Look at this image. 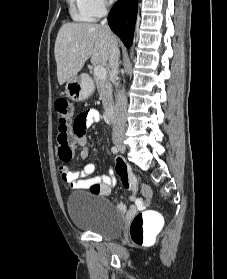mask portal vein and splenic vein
Listing matches in <instances>:
<instances>
[{
	"instance_id": "portal-vein-and-splenic-vein-1",
	"label": "portal vein and splenic vein",
	"mask_w": 227,
	"mask_h": 279,
	"mask_svg": "<svg viewBox=\"0 0 227 279\" xmlns=\"http://www.w3.org/2000/svg\"><path fill=\"white\" fill-rule=\"evenodd\" d=\"M94 74L99 79H105L106 78V68L103 67L102 65H95L94 66Z\"/></svg>"
}]
</instances>
